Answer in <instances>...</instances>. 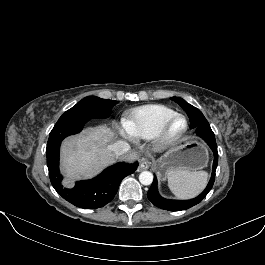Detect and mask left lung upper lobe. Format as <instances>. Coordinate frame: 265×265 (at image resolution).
Instances as JSON below:
<instances>
[{
    "instance_id": "1",
    "label": "left lung upper lobe",
    "mask_w": 265,
    "mask_h": 265,
    "mask_svg": "<svg viewBox=\"0 0 265 265\" xmlns=\"http://www.w3.org/2000/svg\"><path fill=\"white\" fill-rule=\"evenodd\" d=\"M171 99L178 103L182 107V109L187 113L188 117L190 118V128H194L201 124H209L198 108L190 105L182 98L172 97Z\"/></svg>"
}]
</instances>
